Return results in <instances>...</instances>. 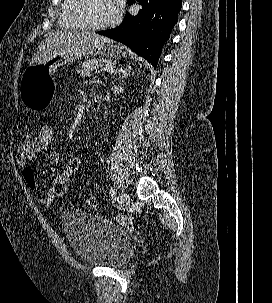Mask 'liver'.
Listing matches in <instances>:
<instances>
[{
    "label": "liver",
    "instance_id": "liver-1",
    "mask_svg": "<svg viewBox=\"0 0 272 303\" xmlns=\"http://www.w3.org/2000/svg\"><path fill=\"white\" fill-rule=\"evenodd\" d=\"M110 39L89 31L57 30L50 33L37 47L30 66L40 64L53 55H65L75 49L90 48Z\"/></svg>",
    "mask_w": 272,
    "mask_h": 303
}]
</instances>
